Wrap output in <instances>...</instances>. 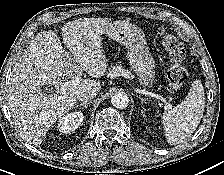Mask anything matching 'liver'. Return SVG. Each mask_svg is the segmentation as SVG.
<instances>
[{
    "label": "liver",
    "instance_id": "6515ba94",
    "mask_svg": "<svg viewBox=\"0 0 224 175\" xmlns=\"http://www.w3.org/2000/svg\"><path fill=\"white\" fill-rule=\"evenodd\" d=\"M109 24L106 18L64 24L62 37L71 54L54 31L44 30L19 57L9 83L8 106L23 140L40 144L57 119L74 106L79 92L101 89L100 82L88 79L64 89L57 85L62 76L74 79L82 70L96 78L104 75L108 64L100 35ZM44 85H53L57 94L44 95Z\"/></svg>",
    "mask_w": 224,
    "mask_h": 175
}]
</instances>
